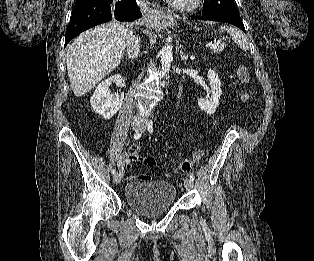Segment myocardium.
Here are the masks:
<instances>
[{"label":"myocardium","mask_w":314,"mask_h":261,"mask_svg":"<svg viewBox=\"0 0 314 261\" xmlns=\"http://www.w3.org/2000/svg\"><path fill=\"white\" fill-rule=\"evenodd\" d=\"M174 8L180 11H194L198 9L204 2V0H171Z\"/></svg>","instance_id":"f54148a6"}]
</instances>
